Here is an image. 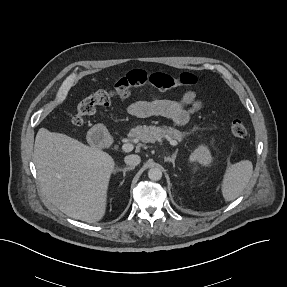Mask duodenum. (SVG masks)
Returning <instances> with one entry per match:
<instances>
[{
    "instance_id": "obj_1",
    "label": "duodenum",
    "mask_w": 287,
    "mask_h": 287,
    "mask_svg": "<svg viewBox=\"0 0 287 287\" xmlns=\"http://www.w3.org/2000/svg\"><path fill=\"white\" fill-rule=\"evenodd\" d=\"M90 143L94 146H106L110 147L113 144V139L111 136L104 131L102 128L98 127L89 135Z\"/></svg>"
}]
</instances>
